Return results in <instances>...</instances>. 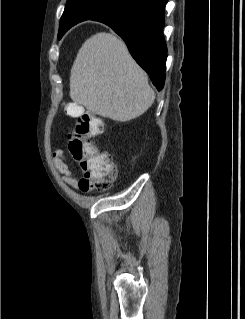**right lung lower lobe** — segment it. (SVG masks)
Instances as JSON below:
<instances>
[{"label": "right lung lower lobe", "mask_w": 245, "mask_h": 319, "mask_svg": "<svg viewBox=\"0 0 245 319\" xmlns=\"http://www.w3.org/2000/svg\"><path fill=\"white\" fill-rule=\"evenodd\" d=\"M167 0H127L91 20L110 26L160 91L165 82L167 47L163 37Z\"/></svg>", "instance_id": "obj_1"}]
</instances>
